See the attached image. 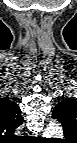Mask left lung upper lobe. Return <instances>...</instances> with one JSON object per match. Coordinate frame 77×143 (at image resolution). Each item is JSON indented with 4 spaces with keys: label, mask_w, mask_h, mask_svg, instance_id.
I'll return each instance as SVG.
<instances>
[{
    "label": "left lung upper lobe",
    "mask_w": 77,
    "mask_h": 143,
    "mask_svg": "<svg viewBox=\"0 0 77 143\" xmlns=\"http://www.w3.org/2000/svg\"><path fill=\"white\" fill-rule=\"evenodd\" d=\"M52 118L60 121L65 137L69 138L77 126V102L71 99L62 100L53 109Z\"/></svg>",
    "instance_id": "5c2ea615"
}]
</instances>
